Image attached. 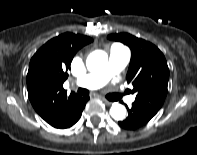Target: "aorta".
Returning <instances> with one entry per match:
<instances>
[{
  "instance_id": "1",
  "label": "aorta",
  "mask_w": 197,
  "mask_h": 155,
  "mask_svg": "<svg viewBox=\"0 0 197 155\" xmlns=\"http://www.w3.org/2000/svg\"><path fill=\"white\" fill-rule=\"evenodd\" d=\"M107 62V53L102 50H95L87 57L86 66L90 72H99L106 67ZM110 115L114 120H123L126 116V108L119 103H114L110 108Z\"/></svg>"
}]
</instances>
